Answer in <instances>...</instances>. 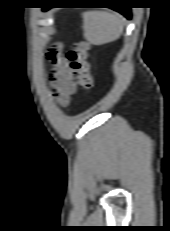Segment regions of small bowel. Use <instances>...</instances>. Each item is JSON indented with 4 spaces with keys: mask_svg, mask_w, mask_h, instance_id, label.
<instances>
[{
    "mask_svg": "<svg viewBox=\"0 0 170 231\" xmlns=\"http://www.w3.org/2000/svg\"><path fill=\"white\" fill-rule=\"evenodd\" d=\"M47 57L52 63L51 86L53 94L62 106H67L71 95L75 92L73 73L59 46L50 48Z\"/></svg>",
    "mask_w": 170,
    "mask_h": 231,
    "instance_id": "c3829d8e",
    "label": "small bowel"
}]
</instances>
